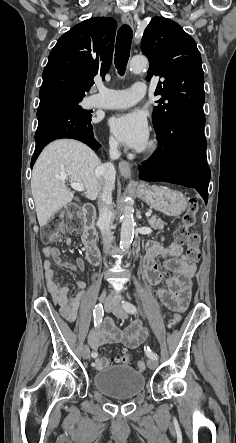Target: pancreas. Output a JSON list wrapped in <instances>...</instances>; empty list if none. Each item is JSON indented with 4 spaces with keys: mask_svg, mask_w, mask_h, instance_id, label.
Returning a JSON list of instances; mask_svg holds the SVG:
<instances>
[{
    "mask_svg": "<svg viewBox=\"0 0 236 443\" xmlns=\"http://www.w3.org/2000/svg\"><path fill=\"white\" fill-rule=\"evenodd\" d=\"M148 222L153 229L162 230L165 226V222H163L160 218H157V216L149 218Z\"/></svg>",
    "mask_w": 236,
    "mask_h": 443,
    "instance_id": "cf45deb5",
    "label": "pancreas"
}]
</instances>
